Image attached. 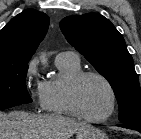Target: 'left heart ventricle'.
<instances>
[{"mask_svg":"<svg viewBox=\"0 0 141 139\" xmlns=\"http://www.w3.org/2000/svg\"><path fill=\"white\" fill-rule=\"evenodd\" d=\"M78 101L86 115L102 117L110 109L111 95L103 81L96 77H88L79 86Z\"/></svg>","mask_w":141,"mask_h":139,"instance_id":"1","label":"left heart ventricle"}]
</instances>
